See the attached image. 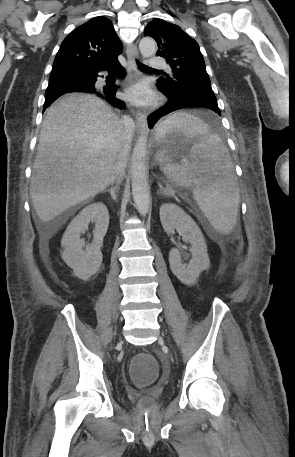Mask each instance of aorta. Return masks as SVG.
<instances>
[{"instance_id": "762f6f07", "label": "aorta", "mask_w": 295, "mask_h": 457, "mask_svg": "<svg viewBox=\"0 0 295 457\" xmlns=\"http://www.w3.org/2000/svg\"><path fill=\"white\" fill-rule=\"evenodd\" d=\"M142 56L150 57L155 53L156 44L152 38H142L139 43ZM147 138L139 137L132 153L131 183L132 194L136 208L141 216H146L149 211L150 197L148 188V172L145 164Z\"/></svg>"}]
</instances>
